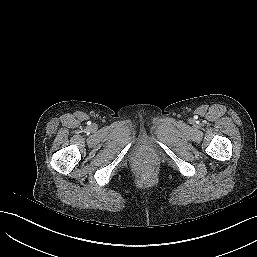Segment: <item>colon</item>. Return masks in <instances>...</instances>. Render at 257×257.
Listing matches in <instances>:
<instances>
[{"label":"colon","mask_w":257,"mask_h":257,"mask_svg":"<svg viewBox=\"0 0 257 257\" xmlns=\"http://www.w3.org/2000/svg\"><path fill=\"white\" fill-rule=\"evenodd\" d=\"M151 178H152V174H151L150 172H145V173H143V175H142L143 181H148V180H150Z\"/></svg>","instance_id":"colon-1"}]
</instances>
